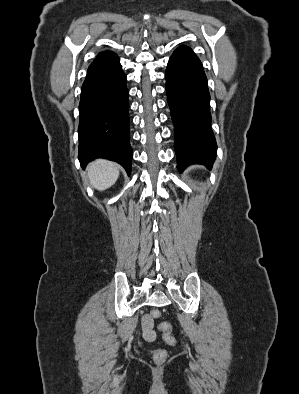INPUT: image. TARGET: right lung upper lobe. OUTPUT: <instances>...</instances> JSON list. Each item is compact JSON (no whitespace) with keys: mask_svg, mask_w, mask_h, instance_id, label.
I'll return each mask as SVG.
<instances>
[{"mask_svg":"<svg viewBox=\"0 0 299 394\" xmlns=\"http://www.w3.org/2000/svg\"><path fill=\"white\" fill-rule=\"evenodd\" d=\"M112 53L113 52H111V51L101 52L97 57L102 56V55L112 54Z\"/></svg>","mask_w":299,"mask_h":394,"instance_id":"1","label":"right lung upper lobe"}]
</instances>
